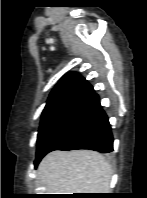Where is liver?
<instances>
[{
  "label": "liver",
  "instance_id": "6515ba94",
  "mask_svg": "<svg viewBox=\"0 0 147 198\" xmlns=\"http://www.w3.org/2000/svg\"><path fill=\"white\" fill-rule=\"evenodd\" d=\"M111 177L109 162L92 150L50 152L37 169L47 194L108 193Z\"/></svg>",
  "mask_w": 147,
  "mask_h": 198
}]
</instances>
